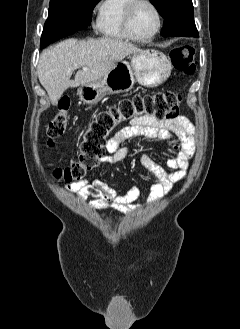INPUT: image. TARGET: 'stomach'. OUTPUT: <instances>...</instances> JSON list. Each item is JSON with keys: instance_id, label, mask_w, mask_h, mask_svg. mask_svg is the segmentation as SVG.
I'll use <instances>...</instances> for the list:
<instances>
[{"instance_id": "1", "label": "stomach", "mask_w": 240, "mask_h": 329, "mask_svg": "<svg viewBox=\"0 0 240 329\" xmlns=\"http://www.w3.org/2000/svg\"><path fill=\"white\" fill-rule=\"evenodd\" d=\"M127 61L118 62L102 78L78 89L79 98L86 104L98 103L108 94L127 92L137 81L140 85L154 88L164 83L171 74V63L167 56L154 49L133 53Z\"/></svg>"}]
</instances>
